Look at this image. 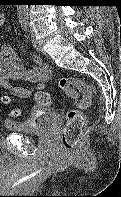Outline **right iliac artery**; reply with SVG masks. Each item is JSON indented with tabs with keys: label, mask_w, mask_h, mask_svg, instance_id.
I'll return each mask as SVG.
<instances>
[{
	"label": "right iliac artery",
	"mask_w": 121,
	"mask_h": 197,
	"mask_svg": "<svg viewBox=\"0 0 121 197\" xmlns=\"http://www.w3.org/2000/svg\"><path fill=\"white\" fill-rule=\"evenodd\" d=\"M21 26L24 30L27 31V22L26 21H21Z\"/></svg>",
	"instance_id": "right-iliac-artery-1"
}]
</instances>
